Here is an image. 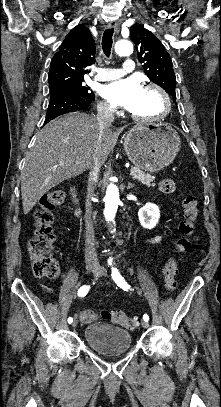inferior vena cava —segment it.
<instances>
[{"mask_svg":"<svg viewBox=\"0 0 221 407\" xmlns=\"http://www.w3.org/2000/svg\"><path fill=\"white\" fill-rule=\"evenodd\" d=\"M97 117L96 122L99 128V137L97 140V145L100 144V140L104 131L110 128L113 120H114V110L112 107L106 103H101L97 106ZM101 161L98 154V149L95 150L91 162L89 164V189H88V200L86 204V214H85V260L87 263L90 262H97V253L95 249V240H94V229H93V222H92V207L90 198L93 195L94 191V184L97 181L100 168H101Z\"/></svg>","mask_w":221,"mask_h":407,"instance_id":"inferior-vena-cava-1","label":"inferior vena cava"}]
</instances>
